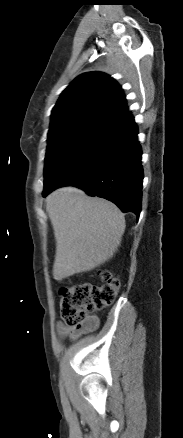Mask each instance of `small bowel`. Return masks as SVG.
<instances>
[{
    "label": "small bowel",
    "instance_id": "obj_1",
    "mask_svg": "<svg viewBox=\"0 0 183 438\" xmlns=\"http://www.w3.org/2000/svg\"><path fill=\"white\" fill-rule=\"evenodd\" d=\"M98 324V318L96 316H90L87 321L80 327L70 328L63 323L58 324V332L61 335H70L71 337H77L81 333L93 329Z\"/></svg>",
    "mask_w": 183,
    "mask_h": 438
}]
</instances>
